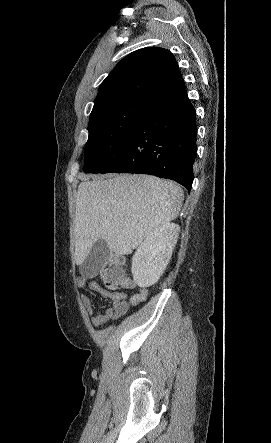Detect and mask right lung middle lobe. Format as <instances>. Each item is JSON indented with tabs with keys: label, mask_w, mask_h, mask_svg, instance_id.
<instances>
[{
	"label": "right lung middle lobe",
	"mask_w": 271,
	"mask_h": 443,
	"mask_svg": "<svg viewBox=\"0 0 271 443\" xmlns=\"http://www.w3.org/2000/svg\"><path fill=\"white\" fill-rule=\"evenodd\" d=\"M152 105L142 99H124L93 108L89 120V137L85 145L84 171L92 173L105 164L123 138Z\"/></svg>",
	"instance_id": "right-lung-middle-lobe-1"
}]
</instances>
